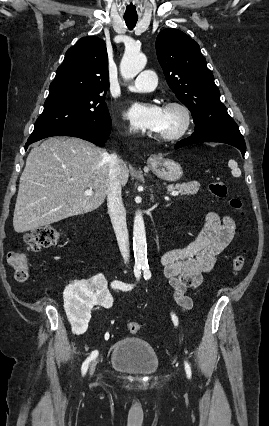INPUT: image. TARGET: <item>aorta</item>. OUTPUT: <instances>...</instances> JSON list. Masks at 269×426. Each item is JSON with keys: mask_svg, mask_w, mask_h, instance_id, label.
I'll return each mask as SVG.
<instances>
[{"mask_svg": "<svg viewBox=\"0 0 269 426\" xmlns=\"http://www.w3.org/2000/svg\"><path fill=\"white\" fill-rule=\"evenodd\" d=\"M147 63L145 55L139 51H127L120 64V72L124 79L134 78ZM133 250L136 264L143 265L147 262V244L143 217L137 213L133 226Z\"/></svg>", "mask_w": 269, "mask_h": 426, "instance_id": "aorta-1", "label": "aorta"}]
</instances>
